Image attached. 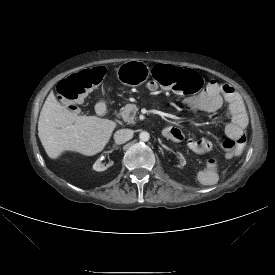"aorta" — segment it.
Returning a JSON list of instances; mask_svg holds the SVG:
<instances>
[{"label": "aorta", "mask_w": 275, "mask_h": 275, "mask_svg": "<svg viewBox=\"0 0 275 275\" xmlns=\"http://www.w3.org/2000/svg\"><path fill=\"white\" fill-rule=\"evenodd\" d=\"M139 138L143 142H147L150 139V134L147 131H142L139 134Z\"/></svg>", "instance_id": "1"}]
</instances>
